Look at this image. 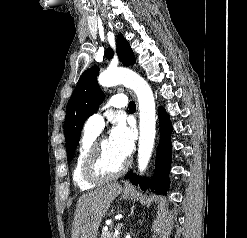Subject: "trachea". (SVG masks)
<instances>
[{"instance_id": "1", "label": "trachea", "mask_w": 247, "mask_h": 238, "mask_svg": "<svg viewBox=\"0 0 247 238\" xmlns=\"http://www.w3.org/2000/svg\"><path fill=\"white\" fill-rule=\"evenodd\" d=\"M129 109H130V110L136 109V105H135V103H134L133 101H130V102H129Z\"/></svg>"}]
</instances>
